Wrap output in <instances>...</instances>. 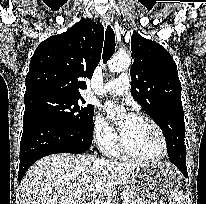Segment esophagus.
Masks as SVG:
<instances>
[{
    "instance_id": "1",
    "label": "esophagus",
    "mask_w": 206,
    "mask_h": 204,
    "mask_svg": "<svg viewBox=\"0 0 206 204\" xmlns=\"http://www.w3.org/2000/svg\"><path fill=\"white\" fill-rule=\"evenodd\" d=\"M102 21H103V23H105L107 25L111 24V22H112L111 16L109 14L102 15Z\"/></svg>"
}]
</instances>
